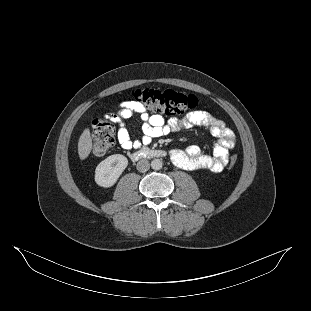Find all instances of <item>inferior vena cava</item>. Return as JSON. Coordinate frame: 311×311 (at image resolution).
Wrapping results in <instances>:
<instances>
[{"mask_svg":"<svg viewBox=\"0 0 311 311\" xmlns=\"http://www.w3.org/2000/svg\"><path fill=\"white\" fill-rule=\"evenodd\" d=\"M136 167H137V170L139 172H146L150 168V162L146 159H142V160L138 161Z\"/></svg>","mask_w":311,"mask_h":311,"instance_id":"inferior-vena-cava-1","label":"inferior vena cava"}]
</instances>
